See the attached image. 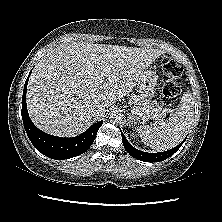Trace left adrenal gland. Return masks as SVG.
Returning a JSON list of instances; mask_svg holds the SVG:
<instances>
[{
	"mask_svg": "<svg viewBox=\"0 0 222 222\" xmlns=\"http://www.w3.org/2000/svg\"><path fill=\"white\" fill-rule=\"evenodd\" d=\"M127 115H128V122H127V124L128 125L133 124V121H135L134 116L131 113H127Z\"/></svg>",
	"mask_w": 222,
	"mask_h": 222,
	"instance_id": "left-adrenal-gland-1",
	"label": "left adrenal gland"
}]
</instances>
